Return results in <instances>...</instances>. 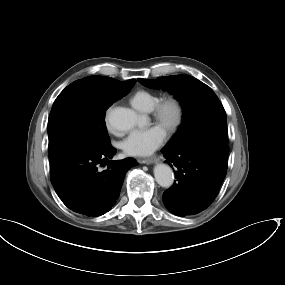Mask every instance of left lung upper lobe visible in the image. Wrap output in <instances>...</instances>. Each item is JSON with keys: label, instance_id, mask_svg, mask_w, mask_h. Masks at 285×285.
<instances>
[{"label": "left lung upper lobe", "instance_id": "obj_1", "mask_svg": "<svg viewBox=\"0 0 285 285\" xmlns=\"http://www.w3.org/2000/svg\"><path fill=\"white\" fill-rule=\"evenodd\" d=\"M138 81L147 87L173 93L183 106V122L165 149L179 150L202 142L228 145L226 113L209 86L189 75Z\"/></svg>", "mask_w": 285, "mask_h": 285}]
</instances>
